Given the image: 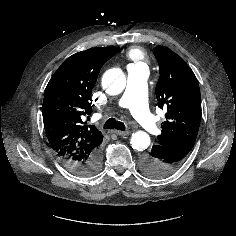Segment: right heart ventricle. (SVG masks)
<instances>
[{
    "label": "right heart ventricle",
    "mask_w": 236,
    "mask_h": 236,
    "mask_svg": "<svg viewBox=\"0 0 236 236\" xmlns=\"http://www.w3.org/2000/svg\"><path fill=\"white\" fill-rule=\"evenodd\" d=\"M128 58L133 60L136 64H142L145 59V54L140 49H132L128 53Z\"/></svg>",
    "instance_id": "e07e8e85"
}]
</instances>
